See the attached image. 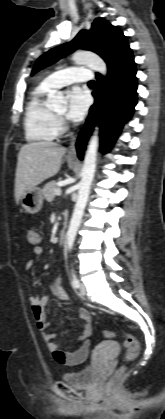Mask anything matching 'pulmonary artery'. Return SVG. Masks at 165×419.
<instances>
[{
    "label": "pulmonary artery",
    "mask_w": 165,
    "mask_h": 419,
    "mask_svg": "<svg viewBox=\"0 0 165 419\" xmlns=\"http://www.w3.org/2000/svg\"><path fill=\"white\" fill-rule=\"evenodd\" d=\"M92 79L91 70L85 67H69L48 75L43 84L49 88L57 89L75 82H86Z\"/></svg>",
    "instance_id": "pulmonary-artery-1"
}]
</instances>
